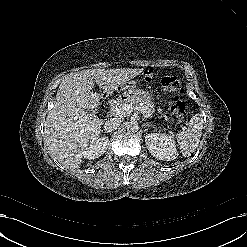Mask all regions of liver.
I'll return each instance as SVG.
<instances>
[{
  "mask_svg": "<svg viewBox=\"0 0 247 247\" xmlns=\"http://www.w3.org/2000/svg\"><path fill=\"white\" fill-rule=\"evenodd\" d=\"M143 69H87L67 75L60 83L44 126V141L50 154L67 168L77 169L83 151L99 136L103 120L93 112L101 95L92 92L95 83L103 93L139 75Z\"/></svg>",
  "mask_w": 247,
  "mask_h": 247,
  "instance_id": "liver-1",
  "label": "liver"
}]
</instances>
